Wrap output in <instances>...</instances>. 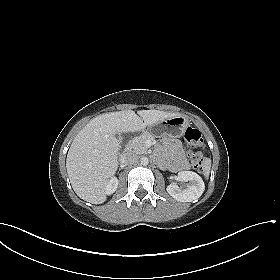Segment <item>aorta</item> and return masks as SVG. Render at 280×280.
Wrapping results in <instances>:
<instances>
[{
    "label": "aorta",
    "instance_id": "obj_1",
    "mask_svg": "<svg viewBox=\"0 0 280 280\" xmlns=\"http://www.w3.org/2000/svg\"><path fill=\"white\" fill-rule=\"evenodd\" d=\"M140 162H141V164H142L143 166H146V165H148L149 160H148L147 157H142V158L140 159Z\"/></svg>",
    "mask_w": 280,
    "mask_h": 280
}]
</instances>
